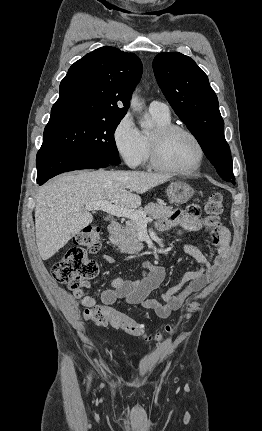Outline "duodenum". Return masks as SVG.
Instances as JSON below:
<instances>
[{"label": "duodenum", "instance_id": "410a0bca", "mask_svg": "<svg viewBox=\"0 0 262 431\" xmlns=\"http://www.w3.org/2000/svg\"><path fill=\"white\" fill-rule=\"evenodd\" d=\"M106 229L109 234L115 235L121 230V224L118 222H111L107 225Z\"/></svg>", "mask_w": 262, "mask_h": 431}]
</instances>
